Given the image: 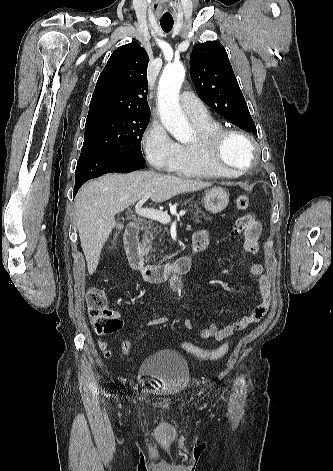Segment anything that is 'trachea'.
<instances>
[{"label":"trachea","mask_w":333,"mask_h":471,"mask_svg":"<svg viewBox=\"0 0 333 471\" xmlns=\"http://www.w3.org/2000/svg\"><path fill=\"white\" fill-rule=\"evenodd\" d=\"M161 27L165 32H169L173 28L174 21L173 20H161L160 21Z\"/></svg>","instance_id":"trachea-1"}]
</instances>
